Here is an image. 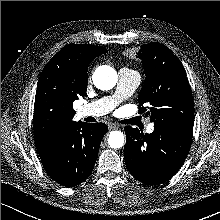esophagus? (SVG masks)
I'll return each instance as SVG.
<instances>
[{"label": "esophagus", "instance_id": "obj_1", "mask_svg": "<svg viewBox=\"0 0 220 220\" xmlns=\"http://www.w3.org/2000/svg\"><path fill=\"white\" fill-rule=\"evenodd\" d=\"M108 128H109V130L117 129V128H118V125L115 124V123H109V124H108Z\"/></svg>", "mask_w": 220, "mask_h": 220}]
</instances>
